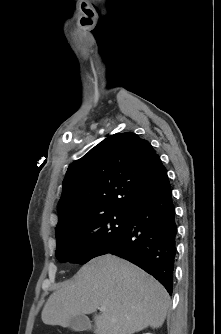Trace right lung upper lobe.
Listing matches in <instances>:
<instances>
[{"mask_svg": "<svg viewBox=\"0 0 221 334\" xmlns=\"http://www.w3.org/2000/svg\"><path fill=\"white\" fill-rule=\"evenodd\" d=\"M167 178L147 140L132 132L108 136L68 167L58 203L56 237L106 213H130Z\"/></svg>", "mask_w": 221, "mask_h": 334, "instance_id": "obj_1", "label": "right lung upper lobe"}]
</instances>
